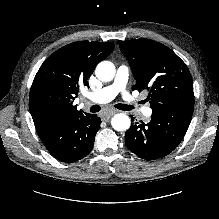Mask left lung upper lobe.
Instances as JSON below:
<instances>
[{
	"label": "left lung upper lobe",
	"mask_w": 219,
	"mask_h": 219,
	"mask_svg": "<svg viewBox=\"0 0 219 219\" xmlns=\"http://www.w3.org/2000/svg\"><path fill=\"white\" fill-rule=\"evenodd\" d=\"M136 84L147 90L153 113H177L194 108L193 81L185 63L168 47L150 39L120 43Z\"/></svg>",
	"instance_id": "5c2ea615"
}]
</instances>
